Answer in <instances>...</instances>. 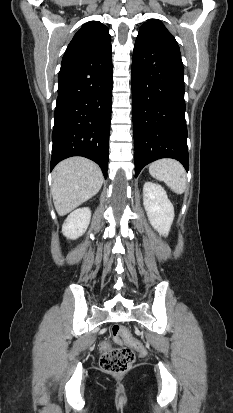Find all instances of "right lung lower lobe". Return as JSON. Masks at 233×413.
<instances>
[{
  "mask_svg": "<svg viewBox=\"0 0 233 413\" xmlns=\"http://www.w3.org/2000/svg\"><path fill=\"white\" fill-rule=\"evenodd\" d=\"M111 45L96 53L64 60L58 76L51 170L61 160L83 156L107 178L112 106Z\"/></svg>",
  "mask_w": 233,
  "mask_h": 413,
  "instance_id": "98d812e1",
  "label": "right lung lower lobe"
}]
</instances>
